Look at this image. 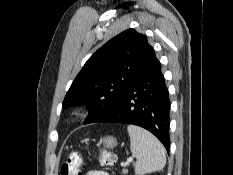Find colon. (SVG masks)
<instances>
[{
  "instance_id": "5ec220e1",
  "label": "colon",
  "mask_w": 233,
  "mask_h": 175,
  "mask_svg": "<svg viewBox=\"0 0 233 175\" xmlns=\"http://www.w3.org/2000/svg\"><path fill=\"white\" fill-rule=\"evenodd\" d=\"M100 163L103 166H112L115 157L106 150H101ZM83 159L79 151L74 150L69 153L67 160L62 164L60 175H81Z\"/></svg>"
}]
</instances>
